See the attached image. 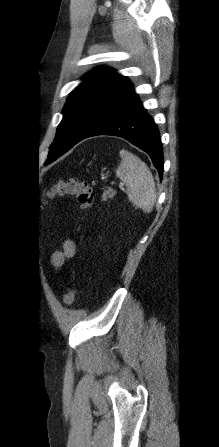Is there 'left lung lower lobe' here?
Instances as JSON below:
<instances>
[{"instance_id": "left-lung-lower-lobe-1", "label": "left lung lower lobe", "mask_w": 219, "mask_h": 447, "mask_svg": "<svg viewBox=\"0 0 219 447\" xmlns=\"http://www.w3.org/2000/svg\"><path fill=\"white\" fill-rule=\"evenodd\" d=\"M96 135L122 137L145 151L150 156L155 168L158 170L159 176L162 177L163 149L159 131L153 119L147 114L146 109L143 108L142 103L133 88L126 97L85 136V138ZM68 150L58 156L48 159L45 162V165L53 162Z\"/></svg>"}]
</instances>
